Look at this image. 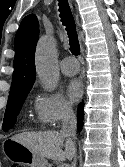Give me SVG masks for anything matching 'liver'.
<instances>
[{
	"label": "liver",
	"instance_id": "liver-1",
	"mask_svg": "<svg viewBox=\"0 0 125 167\" xmlns=\"http://www.w3.org/2000/svg\"><path fill=\"white\" fill-rule=\"evenodd\" d=\"M36 154L59 162L71 160L76 151L74 142L57 131L23 132L12 137ZM65 142V144H64ZM65 150H62V146Z\"/></svg>",
	"mask_w": 125,
	"mask_h": 167
}]
</instances>
